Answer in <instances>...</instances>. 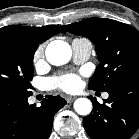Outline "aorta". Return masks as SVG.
I'll use <instances>...</instances> for the list:
<instances>
[{
    "instance_id": "aorta-1",
    "label": "aorta",
    "mask_w": 139,
    "mask_h": 139,
    "mask_svg": "<svg viewBox=\"0 0 139 139\" xmlns=\"http://www.w3.org/2000/svg\"><path fill=\"white\" fill-rule=\"evenodd\" d=\"M45 55L50 64L60 66L69 62L72 50L68 43L54 40L46 47ZM74 109L79 115H88L92 111V102L88 98H78L74 102Z\"/></svg>"
}]
</instances>
